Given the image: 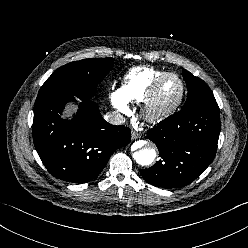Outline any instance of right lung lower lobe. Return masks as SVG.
<instances>
[{
  "mask_svg": "<svg viewBox=\"0 0 248 248\" xmlns=\"http://www.w3.org/2000/svg\"><path fill=\"white\" fill-rule=\"evenodd\" d=\"M82 100L76 116L63 120L60 114L68 101L66 93L37 97L34 106L33 141L44 166L54 177L73 183L95 179L112 153L128 145L131 131L124 125L106 122L97 103Z\"/></svg>",
  "mask_w": 248,
  "mask_h": 248,
  "instance_id": "right-lung-lower-lobe-1",
  "label": "right lung lower lobe"
}]
</instances>
